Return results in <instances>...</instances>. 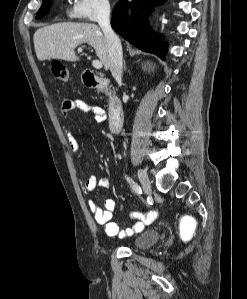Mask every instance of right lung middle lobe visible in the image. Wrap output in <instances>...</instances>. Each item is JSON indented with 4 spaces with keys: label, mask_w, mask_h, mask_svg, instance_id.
I'll return each mask as SVG.
<instances>
[{
    "label": "right lung middle lobe",
    "mask_w": 247,
    "mask_h": 299,
    "mask_svg": "<svg viewBox=\"0 0 247 299\" xmlns=\"http://www.w3.org/2000/svg\"><path fill=\"white\" fill-rule=\"evenodd\" d=\"M52 1L53 0H43L42 6L36 15V18L43 17L44 15H46L48 13V11L51 7Z\"/></svg>",
    "instance_id": "obj_1"
}]
</instances>
